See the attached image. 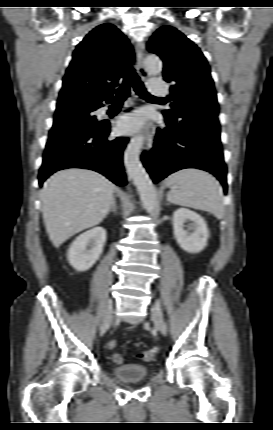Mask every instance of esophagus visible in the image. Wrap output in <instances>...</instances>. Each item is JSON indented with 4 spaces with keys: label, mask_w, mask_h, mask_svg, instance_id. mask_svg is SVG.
<instances>
[{
    "label": "esophagus",
    "mask_w": 273,
    "mask_h": 430,
    "mask_svg": "<svg viewBox=\"0 0 273 430\" xmlns=\"http://www.w3.org/2000/svg\"><path fill=\"white\" fill-rule=\"evenodd\" d=\"M136 55H137V69L142 79L148 77V72L144 65V44L140 41L134 43ZM155 128L153 125H149L146 132L145 149L150 151L153 146Z\"/></svg>",
    "instance_id": "obj_1"
}]
</instances>
